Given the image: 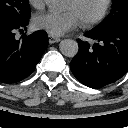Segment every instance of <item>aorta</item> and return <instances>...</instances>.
<instances>
[{"label": "aorta", "mask_w": 128, "mask_h": 128, "mask_svg": "<svg viewBox=\"0 0 128 128\" xmlns=\"http://www.w3.org/2000/svg\"><path fill=\"white\" fill-rule=\"evenodd\" d=\"M45 2L51 9H61L65 0H45ZM59 49L64 56L72 58L78 53V43L72 39H64L60 42Z\"/></svg>", "instance_id": "762f6f07"}]
</instances>
